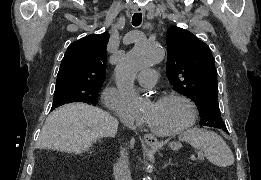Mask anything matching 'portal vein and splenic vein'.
<instances>
[{
	"mask_svg": "<svg viewBox=\"0 0 261 180\" xmlns=\"http://www.w3.org/2000/svg\"><path fill=\"white\" fill-rule=\"evenodd\" d=\"M204 157H205L204 153H199L198 156H197V159L204 158Z\"/></svg>",
	"mask_w": 261,
	"mask_h": 180,
	"instance_id": "obj_1",
	"label": "portal vein and splenic vein"
}]
</instances>
